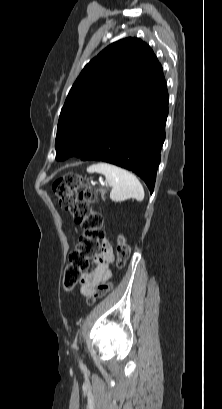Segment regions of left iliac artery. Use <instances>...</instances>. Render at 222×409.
<instances>
[{
    "instance_id": "left-iliac-artery-1",
    "label": "left iliac artery",
    "mask_w": 222,
    "mask_h": 409,
    "mask_svg": "<svg viewBox=\"0 0 222 409\" xmlns=\"http://www.w3.org/2000/svg\"><path fill=\"white\" fill-rule=\"evenodd\" d=\"M73 349L77 350L78 346H77V336L74 339L73 345H72Z\"/></svg>"
}]
</instances>
